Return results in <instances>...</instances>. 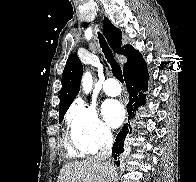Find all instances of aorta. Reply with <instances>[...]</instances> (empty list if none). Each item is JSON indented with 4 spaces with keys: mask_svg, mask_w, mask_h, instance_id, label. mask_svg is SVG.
Masks as SVG:
<instances>
[{
    "mask_svg": "<svg viewBox=\"0 0 196 182\" xmlns=\"http://www.w3.org/2000/svg\"><path fill=\"white\" fill-rule=\"evenodd\" d=\"M93 78L90 72H85L82 78V87L86 94L92 90Z\"/></svg>",
    "mask_w": 196,
    "mask_h": 182,
    "instance_id": "aorta-1",
    "label": "aorta"
}]
</instances>
